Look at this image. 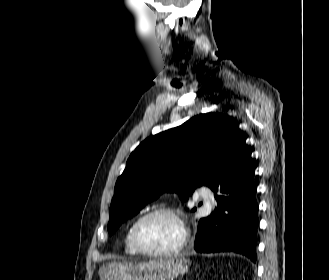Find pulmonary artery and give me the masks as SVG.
<instances>
[{
  "instance_id": "e3ab8cb5",
  "label": "pulmonary artery",
  "mask_w": 329,
  "mask_h": 280,
  "mask_svg": "<svg viewBox=\"0 0 329 280\" xmlns=\"http://www.w3.org/2000/svg\"><path fill=\"white\" fill-rule=\"evenodd\" d=\"M203 195L206 197L208 195V189L207 188H204L203 189Z\"/></svg>"
}]
</instances>
